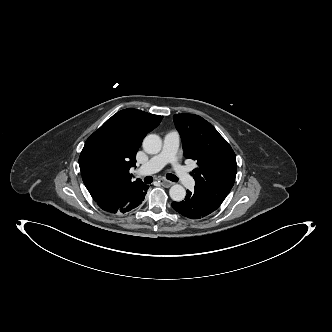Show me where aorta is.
I'll list each match as a JSON object with an SVG mask.
<instances>
[{"mask_svg":"<svg viewBox=\"0 0 332 332\" xmlns=\"http://www.w3.org/2000/svg\"><path fill=\"white\" fill-rule=\"evenodd\" d=\"M162 148V140L156 134H149L143 140V149L148 154H157ZM170 197L173 201L180 202L186 196V190L179 184L173 185L169 190Z\"/></svg>","mask_w":332,"mask_h":332,"instance_id":"aorta-1","label":"aorta"}]
</instances>
